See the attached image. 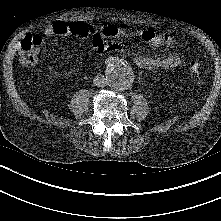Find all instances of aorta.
I'll use <instances>...</instances> for the list:
<instances>
[{
    "instance_id": "obj_1",
    "label": "aorta",
    "mask_w": 221,
    "mask_h": 221,
    "mask_svg": "<svg viewBox=\"0 0 221 221\" xmlns=\"http://www.w3.org/2000/svg\"><path fill=\"white\" fill-rule=\"evenodd\" d=\"M106 80L111 89L122 91L132 86L134 72L130 65L124 60H115L107 65Z\"/></svg>"
}]
</instances>
